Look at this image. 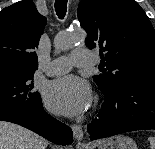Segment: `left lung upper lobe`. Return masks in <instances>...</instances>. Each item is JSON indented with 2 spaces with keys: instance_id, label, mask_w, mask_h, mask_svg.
Wrapping results in <instances>:
<instances>
[{
  "instance_id": "left-lung-upper-lobe-1",
  "label": "left lung upper lobe",
  "mask_w": 155,
  "mask_h": 149,
  "mask_svg": "<svg viewBox=\"0 0 155 149\" xmlns=\"http://www.w3.org/2000/svg\"><path fill=\"white\" fill-rule=\"evenodd\" d=\"M78 19L88 48L99 49L108 72L93 76L103 90L155 76V31L134 0H81Z\"/></svg>"
}]
</instances>
